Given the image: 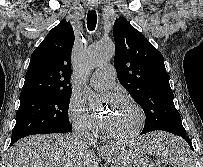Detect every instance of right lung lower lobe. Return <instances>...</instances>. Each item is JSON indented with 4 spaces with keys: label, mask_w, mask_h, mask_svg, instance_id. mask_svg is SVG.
Masks as SVG:
<instances>
[{
    "label": "right lung lower lobe",
    "mask_w": 203,
    "mask_h": 167,
    "mask_svg": "<svg viewBox=\"0 0 203 167\" xmlns=\"http://www.w3.org/2000/svg\"><path fill=\"white\" fill-rule=\"evenodd\" d=\"M16 141H11V144H14Z\"/></svg>",
    "instance_id": "right-lung-lower-lobe-1"
}]
</instances>
